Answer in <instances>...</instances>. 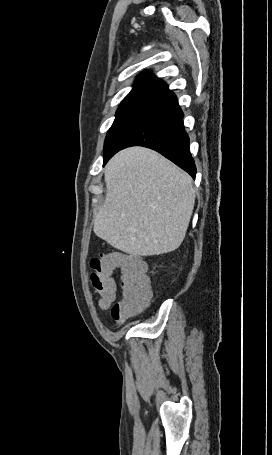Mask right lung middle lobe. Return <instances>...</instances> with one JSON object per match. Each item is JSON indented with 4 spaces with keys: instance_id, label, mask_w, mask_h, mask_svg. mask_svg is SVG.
I'll list each match as a JSON object with an SVG mask.
<instances>
[{
    "instance_id": "obj_1",
    "label": "right lung middle lobe",
    "mask_w": 272,
    "mask_h": 455,
    "mask_svg": "<svg viewBox=\"0 0 272 455\" xmlns=\"http://www.w3.org/2000/svg\"><path fill=\"white\" fill-rule=\"evenodd\" d=\"M166 106L164 103L147 100L123 101L116 113V118L109 129L104 154L108 152L128 131L151 117Z\"/></svg>"
}]
</instances>
